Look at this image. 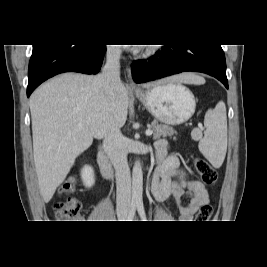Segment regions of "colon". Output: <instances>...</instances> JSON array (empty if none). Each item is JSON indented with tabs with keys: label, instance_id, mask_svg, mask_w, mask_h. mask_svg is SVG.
I'll use <instances>...</instances> for the list:
<instances>
[{
	"label": "colon",
	"instance_id": "obj_1",
	"mask_svg": "<svg viewBox=\"0 0 267 267\" xmlns=\"http://www.w3.org/2000/svg\"><path fill=\"white\" fill-rule=\"evenodd\" d=\"M194 166L202 181L207 185H215L218 182V174L216 170L204 159L195 158ZM74 190L72 180L65 181L60 187V194L64 197L54 205V216L59 222H74L81 218L82 205L81 202L70 196ZM213 214L212 205L203 204L197 214L198 222H208Z\"/></svg>",
	"mask_w": 267,
	"mask_h": 267
}]
</instances>
